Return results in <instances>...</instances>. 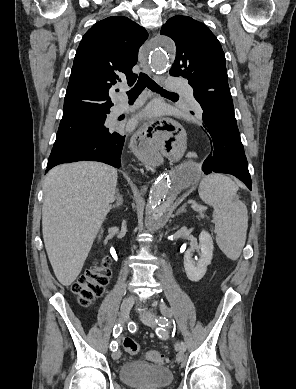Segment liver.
<instances>
[{"mask_svg": "<svg viewBox=\"0 0 296 389\" xmlns=\"http://www.w3.org/2000/svg\"><path fill=\"white\" fill-rule=\"evenodd\" d=\"M117 170L81 161L50 170L44 183L42 231L58 281L71 285L115 200Z\"/></svg>", "mask_w": 296, "mask_h": 389, "instance_id": "1", "label": "liver"}]
</instances>
